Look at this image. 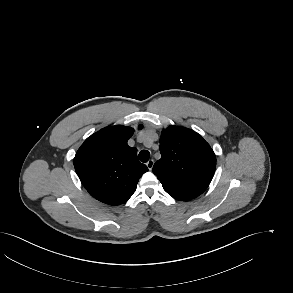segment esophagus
Returning a JSON list of instances; mask_svg holds the SVG:
<instances>
[{
    "label": "esophagus",
    "mask_w": 293,
    "mask_h": 293,
    "mask_svg": "<svg viewBox=\"0 0 293 293\" xmlns=\"http://www.w3.org/2000/svg\"><path fill=\"white\" fill-rule=\"evenodd\" d=\"M147 167L149 170H152L153 166H154V160L150 159L147 163H146Z\"/></svg>",
    "instance_id": "34e87169"
}]
</instances>
